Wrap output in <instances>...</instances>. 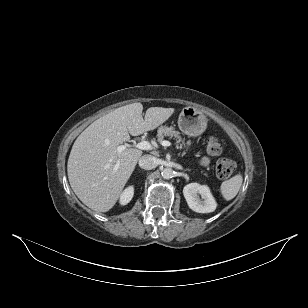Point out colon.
I'll list each match as a JSON object with an SVG mask.
<instances>
[{
	"instance_id": "1",
	"label": "colon",
	"mask_w": 308,
	"mask_h": 308,
	"mask_svg": "<svg viewBox=\"0 0 308 308\" xmlns=\"http://www.w3.org/2000/svg\"><path fill=\"white\" fill-rule=\"evenodd\" d=\"M222 142L214 136H210L206 140V150L211 155H218L222 152ZM235 169V163L229 159H221L216 165V175L220 179H226L231 176Z\"/></svg>"
}]
</instances>
